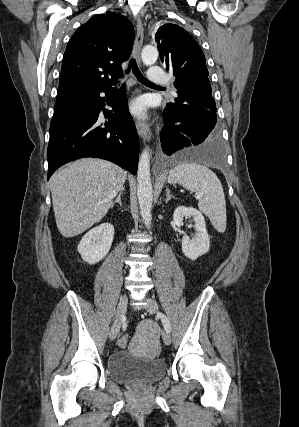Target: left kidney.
<instances>
[{
  "mask_svg": "<svg viewBox=\"0 0 299 427\" xmlns=\"http://www.w3.org/2000/svg\"><path fill=\"white\" fill-rule=\"evenodd\" d=\"M184 217H192L195 227V236L190 239L187 236L182 238V253L191 260H196L209 251L210 238L206 230V223L202 213L193 207L179 206L173 214V221L176 226H181Z\"/></svg>",
  "mask_w": 299,
  "mask_h": 427,
  "instance_id": "left-kidney-1",
  "label": "left kidney"
}]
</instances>
